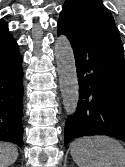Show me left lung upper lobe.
Listing matches in <instances>:
<instances>
[{"mask_svg":"<svg viewBox=\"0 0 125 167\" xmlns=\"http://www.w3.org/2000/svg\"><path fill=\"white\" fill-rule=\"evenodd\" d=\"M58 22L74 30H94L104 27L117 30L113 16L101 0H66Z\"/></svg>","mask_w":125,"mask_h":167,"instance_id":"left-lung-upper-lobe-1","label":"left lung upper lobe"}]
</instances>
